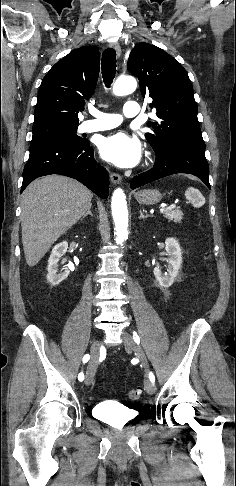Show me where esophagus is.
<instances>
[{"mask_svg": "<svg viewBox=\"0 0 236 486\" xmlns=\"http://www.w3.org/2000/svg\"><path fill=\"white\" fill-rule=\"evenodd\" d=\"M111 47L115 50L118 57L121 55V47L119 43L115 42L111 44ZM110 179L113 184H120L122 181V177L118 173L111 172Z\"/></svg>", "mask_w": 236, "mask_h": 486, "instance_id": "1", "label": "esophagus"}]
</instances>
